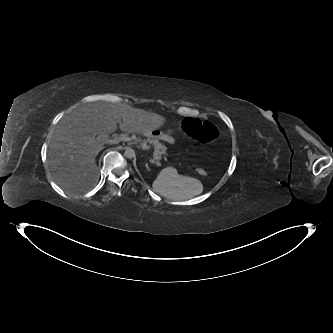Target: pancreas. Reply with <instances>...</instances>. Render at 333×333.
Returning <instances> with one entry per match:
<instances>
[{
  "label": "pancreas",
  "instance_id": "1",
  "mask_svg": "<svg viewBox=\"0 0 333 333\" xmlns=\"http://www.w3.org/2000/svg\"><path fill=\"white\" fill-rule=\"evenodd\" d=\"M147 142L154 146L155 150L157 151V156L159 158H164L165 161H167V147L162 144L158 139L155 138H148Z\"/></svg>",
  "mask_w": 333,
  "mask_h": 333
}]
</instances>
